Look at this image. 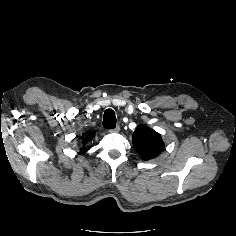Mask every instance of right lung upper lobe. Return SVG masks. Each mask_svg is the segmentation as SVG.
Wrapping results in <instances>:
<instances>
[{"instance_id": "1", "label": "right lung upper lobe", "mask_w": 236, "mask_h": 236, "mask_svg": "<svg viewBox=\"0 0 236 236\" xmlns=\"http://www.w3.org/2000/svg\"><path fill=\"white\" fill-rule=\"evenodd\" d=\"M94 137V133L93 132H88L85 134V136L83 137V143H86L87 141H89L90 139H92ZM86 151V147L83 146L80 149V153H84Z\"/></svg>"}]
</instances>
